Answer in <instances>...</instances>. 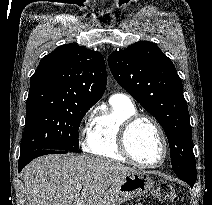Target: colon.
Wrapping results in <instances>:
<instances>
[{
    "label": "colon",
    "instance_id": "5ec220e1",
    "mask_svg": "<svg viewBox=\"0 0 212 205\" xmlns=\"http://www.w3.org/2000/svg\"><path fill=\"white\" fill-rule=\"evenodd\" d=\"M152 193L153 196L160 201L174 202L177 200L174 186L167 182H158Z\"/></svg>",
    "mask_w": 212,
    "mask_h": 205
}]
</instances>
